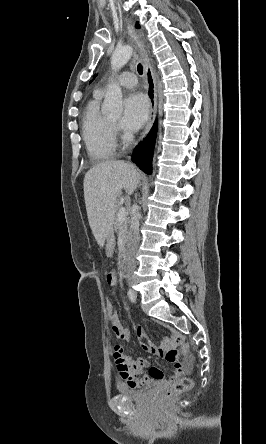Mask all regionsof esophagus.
<instances>
[{
    "label": "esophagus",
    "mask_w": 266,
    "mask_h": 444,
    "mask_svg": "<svg viewBox=\"0 0 266 444\" xmlns=\"http://www.w3.org/2000/svg\"><path fill=\"white\" fill-rule=\"evenodd\" d=\"M127 24L128 33L139 49L143 62H144V70H145V78H146V84H147V95L149 99L150 104V112L148 121L146 123L145 129L142 133V139L147 135V133L150 131L156 117L157 112V89H156V82L154 77L153 68L151 66V63L145 53L144 44L141 41V38L139 34L134 30L131 22H129L127 19H125Z\"/></svg>",
    "instance_id": "obj_1"
}]
</instances>
